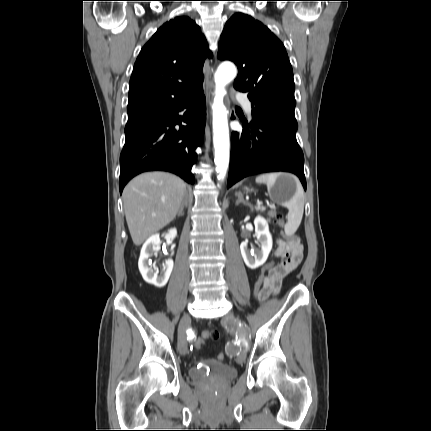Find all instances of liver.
Returning a JSON list of instances; mask_svg holds the SVG:
<instances>
[{
	"label": "liver",
	"mask_w": 431,
	"mask_h": 431,
	"mask_svg": "<svg viewBox=\"0 0 431 431\" xmlns=\"http://www.w3.org/2000/svg\"><path fill=\"white\" fill-rule=\"evenodd\" d=\"M185 193L186 183L165 172L143 173L126 185L123 206L136 246L175 219Z\"/></svg>",
	"instance_id": "6515ba94"
}]
</instances>
